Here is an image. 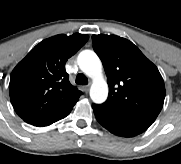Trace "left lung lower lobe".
I'll return each mask as SVG.
<instances>
[{"instance_id":"0a47b994","label":"left lung lower lobe","mask_w":181,"mask_h":164,"mask_svg":"<svg viewBox=\"0 0 181 164\" xmlns=\"http://www.w3.org/2000/svg\"><path fill=\"white\" fill-rule=\"evenodd\" d=\"M97 121L111 133L133 137L146 131L153 123L111 104H92Z\"/></svg>"}]
</instances>
